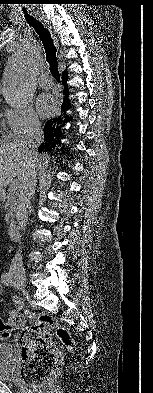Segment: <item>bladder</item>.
<instances>
[{
	"label": "bladder",
	"instance_id": "1",
	"mask_svg": "<svg viewBox=\"0 0 153 393\" xmlns=\"http://www.w3.org/2000/svg\"><path fill=\"white\" fill-rule=\"evenodd\" d=\"M16 364L14 354L10 345L0 344V379L5 381H15L14 371Z\"/></svg>",
	"mask_w": 153,
	"mask_h": 393
}]
</instances>
